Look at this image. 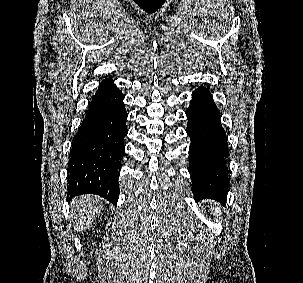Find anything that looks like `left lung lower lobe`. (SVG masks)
<instances>
[{"instance_id":"0a47b994","label":"left lung lower lobe","mask_w":303,"mask_h":283,"mask_svg":"<svg viewBox=\"0 0 303 283\" xmlns=\"http://www.w3.org/2000/svg\"><path fill=\"white\" fill-rule=\"evenodd\" d=\"M186 115L194 198H211L224 204L229 182L225 157L229 151L219 110L208 89L195 90Z\"/></svg>"}]
</instances>
